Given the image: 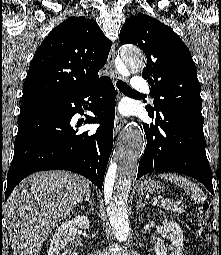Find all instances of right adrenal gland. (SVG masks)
Listing matches in <instances>:
<instances>
[{
  "label": "right adrenal gland",
  "mask_w": 221,
  "mask_h": 255,
  "mask_svg": "<svg viewBox=\"0 0 221 255\" xmlns=\"http://www.w3.org/2000/svg\"><path fill=\"white\" fill-rule=\"evenodd\" d=\"M83 201H87L89 203L91 211L94 210V208H93V199L91 198V191L90 190L86 193L85 197L81 200V203Z\"/></svg>",
  "instance_id": "2a0ac1e0"
}]
</instances>
